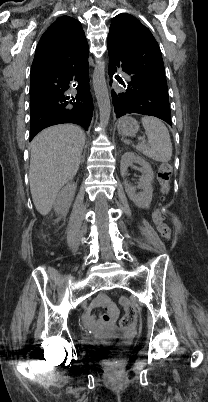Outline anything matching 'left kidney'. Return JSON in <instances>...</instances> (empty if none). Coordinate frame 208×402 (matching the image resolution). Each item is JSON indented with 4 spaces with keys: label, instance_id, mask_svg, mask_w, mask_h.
<instances>
[{
    "label": "left kidney",
    "instance_id": "1",
    "mask_svg": "<svg viewBox=\"0 0 208 402\" xmlns=\"http://www.w3.org/2000/svg\"><path fill=\"white\" fill-rule=\"evenodd\" d=\"M133 162L134 164H139V166H141L140 172L142 176L139 178V186H131L128 182H124L125 192L128 198H130L138 208H149L153 194V188L151 186L154 178L153 170L150 164L145 162L143 158H140V156H137L134 152H126V154H123L120 162V174H122V176H126L127 168L128 166H132ZM136 188H141L143 192L136 194Z\"/></svg>",
    "mask_w": 208,
    "mask_h": 402
}]
</instances>
